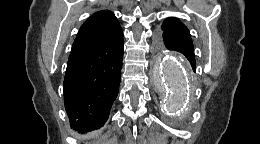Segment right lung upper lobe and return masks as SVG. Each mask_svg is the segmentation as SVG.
<instances>
[{
    "mask_svg": "<svg viewBox=\"0 0 260 144\" xmlns=\"http://www.w3.org/2000/svg\"><path fill=\"white\" fill-rule=\"evenodd\" d=\"M123 35L115 15L109 10L98 11L81 26L72 49L109 42Z\"/></svg>",
    "mask_w": 260,
    "mask_h": 144,
    "instance_id": "cb5924a9",
    "label": "right lung upper lobe"
}]
</instances>
